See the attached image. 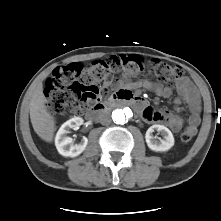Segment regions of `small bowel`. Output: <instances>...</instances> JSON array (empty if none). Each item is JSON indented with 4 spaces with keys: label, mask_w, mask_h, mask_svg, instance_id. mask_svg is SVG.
<instances>
[{
    "label": "small bowel",
    "mask_w": 221,
    "mask_h": 221,
    "mask_svg": "<svg viewBox=\"0 0 221 221\" xmlns=\"http://www.w3.org/2000/svg\"><path fill=\"white\" fill-rule=\"evenodd\" d=\"M105 86H120L125 84L123 80H115L112 77L104 82ZM142 85L154 92L159 97H168L171 89L163 87L155 82L145 80ZM179 97L175 99L176 114H171L165 110H155L144 101L142 106V116L148 122H163L168 125L172 131L179 132L181 130L190 131L193 135L196 133L200 124L201 100L198 91L192 85L188 78H183L178 84ZM185 102L190 112L187 120L180 115V104Z\"/></svg>",
    "instance_id": "small-bowel-1"
}]
</instances>
